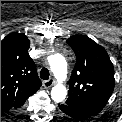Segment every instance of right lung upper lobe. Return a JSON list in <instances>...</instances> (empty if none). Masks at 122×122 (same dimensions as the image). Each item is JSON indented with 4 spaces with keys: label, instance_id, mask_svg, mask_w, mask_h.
<instances>
[{
    "label": "right lung upper lobe",
    "instance_id": "obj_1",
    "mask_svg": "<svg viewBox=\"0 0 122 122\" xmlns=\"http://www.w3.org/2000/svg\"><path fill=\"white\" fill-rule=\"evenodd\" d=\"M29 47L22 33H11L1 41V112L21 107L41 86Z\"/></svg>",
    "mask_w": 122,
    "mask_h": 122
}]
</instances>
